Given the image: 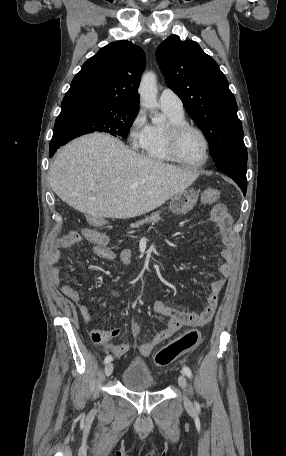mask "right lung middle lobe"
<instances>
[{
	"label": "right lung middle lobe",
	"mask_w": 286,
	"mask_h": 456,
	"mask_svg": "<svg viewBox=\"0 0 286 456\" xmlns=\"http://www.w3.org/2000/svg\"><path fill=\"white\" fill-rule=\"evenodd\" d=\"M62 115L54 126V139L62 144L95 131L125 138L139 108L92 98H71L62 102Z\"/></svg>",
	"instance_id": "right-lung-middle-lobe-1"
}]
</instances>
